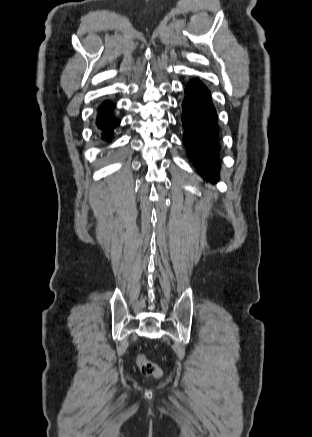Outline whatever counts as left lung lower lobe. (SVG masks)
Instances as JSON below:
<instances>
[{"mask_svg": "<svg viewBox=\"0 0 312 437\" xmlns=\"http://www.w3.org/2000/svg\"><path fill=\"white\" fill-rule=\"evenodd\" d=\"M182 103L183 143L187 155L195 160L197 172L216 181L219 165L217 114L208 89L198 80L190 81Z\"/></svg>", "mask_w": 312, "mask_h": 437, "instance_id": "1", "label": "left lung lower lobe"}]
</instances>
